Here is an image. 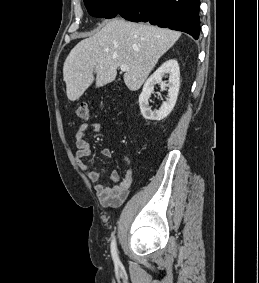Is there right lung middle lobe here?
I'll return each mask as SVG.
<instances>
[{"label":"right lung middle lobe","instance_id":"dd1d6c3e","mask_svg":"<svg viewBox=\"0 0 259 283\" xmlns=\"http://www.w3.org/2000/svg\"><path fill=\"white\" fill-rule=\"evenodd\" d=\"M116 0H84L90 15L94 17L112 18L115 13L114 2Z\"/></svg>","mask_w":259,"mask_h":283}]
</instances>
